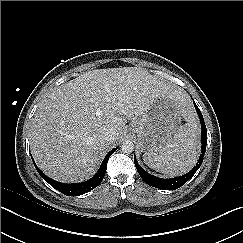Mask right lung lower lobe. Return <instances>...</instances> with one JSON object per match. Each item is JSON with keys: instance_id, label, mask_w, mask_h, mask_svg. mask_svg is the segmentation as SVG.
Listing matches in <instances>:
<instances>
[{"instance_id": "right-lung-lower-lobe-1", "label": "right lung lower lobe", "mask_w": 243, "mask_h": 243, "mask_svg": "<svg viewBox=\"0 0 243 243\" xmlns=\"http://www.w3.org/2000/svg\"><path fill=\"white\" fill-rule=\"evenodd\" d=\"M117 150V148L112 149L104 158L98 172L94 177H92L90 180L78 183V184H64L57 181H54L47 177L35 164L34 160L33 163L35 165L36 170L41 175V177L46 180L53 188L57 189L61 193L68 195V196H79L82 194H85L92 189L96 188L103 180L106 168H107V162L112 153H114Z\"/></svg>"}]
</instances>
